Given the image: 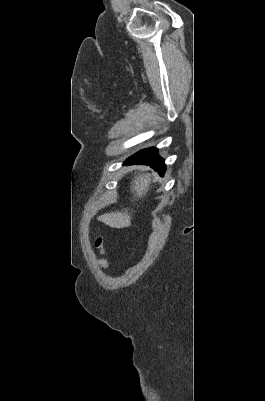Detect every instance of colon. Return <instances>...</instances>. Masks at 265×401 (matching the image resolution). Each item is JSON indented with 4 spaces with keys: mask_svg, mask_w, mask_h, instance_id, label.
Listing matches in <instances>:
<instances>
[{
    "mask_svg": "<svg viewBox=\"0 0 265 401\" xmlns=\"http://www.w3.org/2000/svg\"><path fill=\"white\" fill-rule=\"evenodd\" d=\"M95 246H96L97 248H99V249H102L103 241H102V239H101L100 237L96 238V240H95Z\"/></svg>",
    "mask_w": 265,
    "mask_h": 401,
    "instance_id": "obj_1",
    "label": "colon"
}]
</instances>
